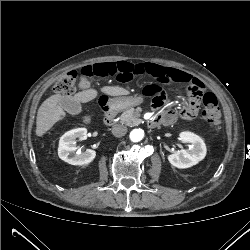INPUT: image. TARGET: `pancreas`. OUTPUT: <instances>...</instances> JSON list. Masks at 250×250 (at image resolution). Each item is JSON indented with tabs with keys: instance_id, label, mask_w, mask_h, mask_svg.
I'll use <instances>...</instances> for the list:
<instances>
[{
	"instance_id": "cf45deb5",
	"label": "pancreas",
	"mask_w": 250,
	"mask_h": 250,
	"mask_svg": "<svg viewBox=\"0 0 250 250\" xmlns=\"http://www.w3.org/2000/svg\"><path fill=\"white\" fill-rule=\"evenodd\" d=\"M141 111L142 109L139 107L136 109L131 108L126 110L125 112L122 113L120 117V122L128 126L138 125L141 122L139 119Z\"/></svg>"
}]
</instances>
